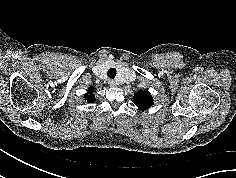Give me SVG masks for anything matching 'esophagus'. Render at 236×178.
Returning <instances> with one entry per match:
<instances>
[{"instance_id":"34e87169","label":"esophagus","mask_w":236,"mask_h":178,"mask_svg":"<svg viewBox=\"0 0 236 178\" xmlns=\"http://www.w3.org/2000/svg\"><path fill=\"white\" fill-rule=\"evenodd\" d=\"M109 85L111 86V87H117V85H118V83L116 82V81H114V80H109Z\"/></svg>"}]
</instances>
